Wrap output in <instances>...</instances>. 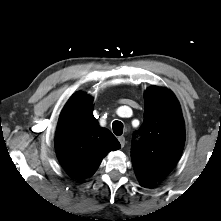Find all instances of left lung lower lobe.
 Returning <instances> with one entry per match:
<instances>
[{"label":"left lung lower lobe","mask_w":221,"mask_h":221,"mask_svg":"<svg viewBox=\"0 0 221 221\" xmlns=\"http://www.w3.org/2000/svg\"><path fill=\"white\" fill-rule=\"evenodd\" d=\"M136 175H137V178H138V180H139V182L141 183L142 186L148 187V186H151V185H153V184L155 183V182H152V181H150V180H148V179L142 177V176H141L140 174H138V173H136Z\"/></svg>","instance_id":"obj_1"}]
</instances>
